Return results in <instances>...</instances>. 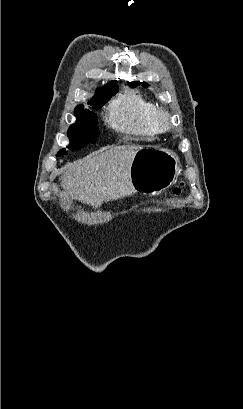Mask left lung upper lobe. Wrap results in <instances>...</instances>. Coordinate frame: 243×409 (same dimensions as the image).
Listing matches in <instances>:
<instances>
[{
  "label": "left lung upper lobe",
  "mask_w": 243,
  "mask_h": 409,
  "mask_svg": "<svg viewBox=\"0 0 243 409\" xmlns=\"http://www.w3.org/2000/svg\"><path fill=\"white\" fill-rule=\"evenodd\" d=\"M139 84H141V82H130L129 83V85L132 86V87H136ZM142 84L145 85V86H148V84L145 83V82H143Z\"/></svg>",
  "instance_id": "5c2ea615"
}]
</instances>
